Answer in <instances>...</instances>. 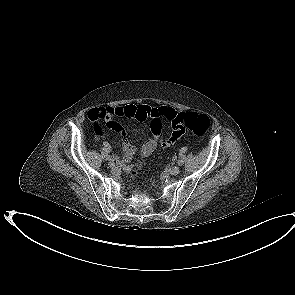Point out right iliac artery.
I'll use <instances>...</instances> for the list:
<instances>
[{
  "label": "right iliac artery",
  "mask_w": 295,
  "mask_h": 295,
  "mask_svg": "<svg viewBox=\"0 0 295 295\" xmlns=\"http://www.w3.org/2000/svg\"><path fill=\"white\" fill-rule=\"evenodd\" d=\"M107 160H109V161H112V162H113V159H112L110 156L107 158Z\"/></svg>",
  "instance_id": "right-iliac-artery-1"
}]
</instances>
